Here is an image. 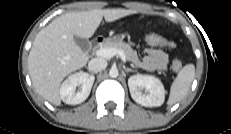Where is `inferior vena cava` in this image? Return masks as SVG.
Here are the masks:
<instances>
[{"instance_id":"1","label":"inferior vena cava","mask_w":231,"mask_h":134,"mask_svg":"<svg viewBox=\"0 0 231 134\" xmlns=\"http://www.w3.org/2000/svg\"><path fill=\"white\" fill-rule=\"evenodd\" d=\"M107 67V61L102 58H93L88 63V70L93 73L100 72Z\"/></svg>"}]
</instances>
